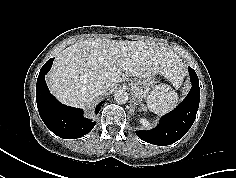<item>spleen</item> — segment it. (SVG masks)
Masks as SVG:
<instances>
[{
	"label": "spleen",
	"mask_w": 236,
	"mask_h": 178,
	"mask_svg": "<svg viewBox=\"0 0 236 178\" xmlns=\"http://www.w3.org/2000/svg\"><path fill=\"white\" fill-rule=\"evenodd\" d=\"M179 102L175 90L167 84L157 85L147 98V106L157 115H163L172 110Z\"/></svg>",
	"instance_id": "3e777b00"
}]
</instances>
